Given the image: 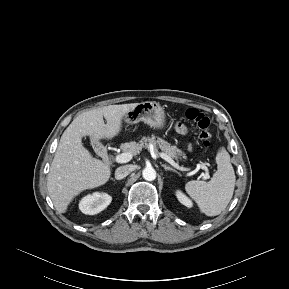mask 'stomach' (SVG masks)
<instances>
[{"mask_svg": "<svg viewBox=\"0 0 289 289\" xmlns=\"http://www.w3.org/2000/svg\"><path fill=\"white\" fill-rule=\"evenodd\" d=\"M123 121L128 124L143 121L154 129H161L166 125L165 112L155 101L138 103L123 117Z\"/></svg>", "mask_w": 289, "mask_h": 289, "instance_id": "0dacf381", "label": "stomach"}]
</instances>
